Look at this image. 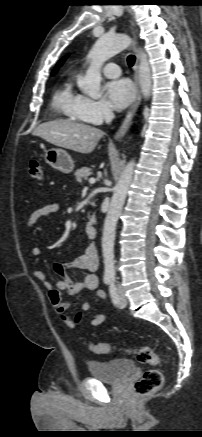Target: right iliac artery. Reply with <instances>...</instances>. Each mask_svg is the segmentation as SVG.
I'll list each match as a JSON object with an SVG mask.
<instances>
[{
	"label": "right iliac artery",
	"instance_id": "1",
	"mask_svg": "<svg viewBox=\"0 0 202 437\" xmlns=\"http://www.w3.org/2000/svg\"><path fill=\"white\" fill-rule=\"evenodd\" d=\"M110 282H111V278L108 277V278H105V279H104V283H105V284H109Z\"/></svg>",
	"mask_w": 202,
	"mask_h": 437
}]
</instances>
